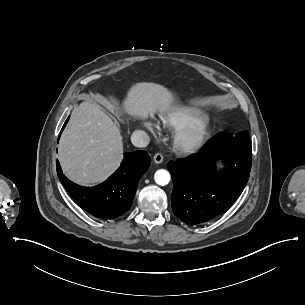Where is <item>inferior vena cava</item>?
Returning a JSON list of instances; mask_svg holds the SVG:
<instances>
[{"mask_svg":"<svg viewBox=\"0 0 305 305\" xmlns=\"http://www.w3.org/2000/svg\"><path fill=\"white\" fill-rule=\"evenodd\" d=\"M131 142L134 146L143 148L149 144L150 138L144 131L136 130L131 135Z\"/></svg>","mask_w":305,"mask_h":305,"instance_id":"602c4592","label":"inferior vena cava"}]
</instances>
